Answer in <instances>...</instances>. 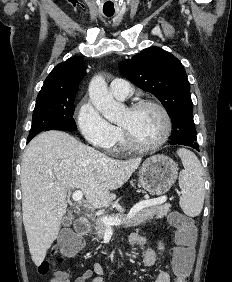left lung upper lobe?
Here are the masks:
<instances>
[{"label": "left lung upper lobe", "instance_id": "obj_1", "mask_svg": "<svg viewBox=\"0 0 232 282\" xmlns=\"http://www.w3.org/2000/svg\"><path fill=\"white\" fill-rule=\"evenodd\" d=\"M121 74L137 87L156 96L167 110L173 135L184 143H196L190 84L184 66L171 53L150 47L119 63Z\"/></svg>", "mask_w": 232, "mask_h": 282}]
</instances>
